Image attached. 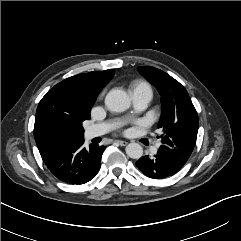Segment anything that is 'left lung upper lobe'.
<instances>
[{
	"label": "left lung upper lobe",
	"instance_id": "1",
	"mask_svg": "<svg viewBox=\"0 0 241 241\" xmlns=\"http://www.w3.org/2000/svg\"><path fill=\"white\" fill-rule=\"evenodd\" d=\"M161 95L162 113L158 128L162 145L158 152L183 167L196 143L198 115L186 89L167 73L151 66L138 67Z\"/></svg>",
	"mask_w": 241,
	"mask_h": 241
}]
</instances>
